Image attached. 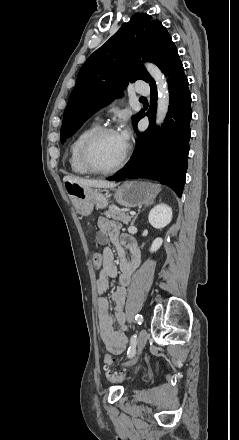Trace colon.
Listing matches in <instances>:
<instances>
[{
    "mask_svg": "<svg viewBox=\"0 0 239 440\" xmlns=\"http://www.w3.org/2000/svg\"><path fill=\"white\" fill-rule=\"evenodd\" d=\"M92 260H93V264L96 268H99L102 265L103 262V257L102 254L99 251H94L92 254ZM113 363V358L111 355L107 354L104 356V364H105V371H106V375L107 377L111 378V379H119L122 378V375H115L112 374L110 371V366ZM136 369H140V366H136Z\"/></svg>",
    "mask_w": 239,
    "mask_h": 440,
    "instance_id": "obj_1",
    "label": "colon"
}]
</instances>
